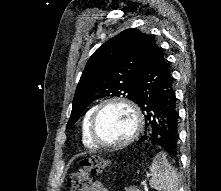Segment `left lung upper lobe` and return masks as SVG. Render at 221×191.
<instances>
[{
  "label": "left lung upper lobe",
  "mask_w": 221,
  "mask_h": 191,
  "mask_svg": "<svg viewBox=\"0 0 221 191\" xmlns=\"http://www.w3.org/2000/svg\"><path fill=\"white\" fill-rule=\"evenodd\" d=\"M151 39L137 29H126L94 52L76 88L67 127L101 97L125 96L136 103L137 80Z\"/></svg>",
  "instance_id": "left-lung-upper-lobe-1"
}]
</instances>
